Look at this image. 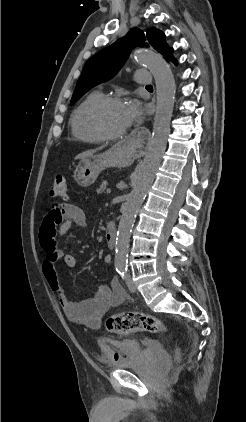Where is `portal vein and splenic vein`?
<instances>
[{
  "label": "portal vein and splenic vein",
  "instance_id": "18ae733b",
  "mask_svg": "<svg viewBox=\"0 0 246 422\" xmlns=\"http://www.w3.org/2000/svg\"><path fill=\"white\" fill-rule=\"evenodd\" d=\"M107 194H110L111 193V189H107Z\"/></svg>",
  "mask_w": 246,
  "mask_h": 422
}]
</instances>
